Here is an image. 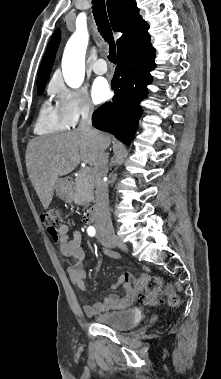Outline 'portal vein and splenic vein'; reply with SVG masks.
Segmentation results:
<instances>
[{
  "label": "portal vein and splenic vein",
  "instance_id": "1",
  "mask_svg": "<svg viewBox=\"0 0 221 379\" xmlns=\"http://www.w3.org/2000/svg\"><path fill=\"white\" fill-rule=\"evenodd\" d=\"M87 173H89V169L88 168H84V169L81 170V174L82 175H85Z\"/></svg>",
  "mask_w": 221,
  "mask_h": 379
}]
</instances>
